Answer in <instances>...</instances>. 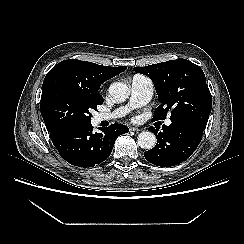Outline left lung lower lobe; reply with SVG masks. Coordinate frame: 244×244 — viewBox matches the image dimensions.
I'll list each match as a JSON object with an SVG mask.
<instances>
[{
  "label": "left lung lower lobe",
  "mask_w": 244,
  "mask_h": 244,
  "mask_svg": "<svg viewBox=\"0 0 244 244\" xmlns=\"http://www.w3.org/2000/svg\"><path fill=\"white\" fill-rule=\"evenodd\" d=\"M157 137L156 146L144 153L150 163L169 167L189 158L201 141L204 128L190 122H172L163 125V132L150 127Z\"/></svg>",
  "instance_id": "0a47b994"
}]
</instances>
